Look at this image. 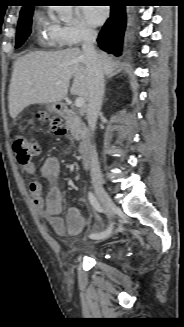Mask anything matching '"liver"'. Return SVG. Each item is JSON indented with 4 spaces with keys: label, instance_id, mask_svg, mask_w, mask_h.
<instances>
[{
    "label": "liver",
    "instance_id": "liver-1",
    "mask_svg": "<svg viewBox=\"0 0 184 327\" xmlns=\"http://www.w3.org/2000/svg\"><path fill=\"white\" fill-rule=\"evenodd\" d=\"M104 74H112L121 63L112 56L98 53ZM73 78L72 94L89 98V72L78 48L61 51H36L18 58L9 87V113L13 119L31 104H56L62 101Z\"/></svg>",
    "mask_w": 184,
    "mask_h": 327
}]
</instances>
